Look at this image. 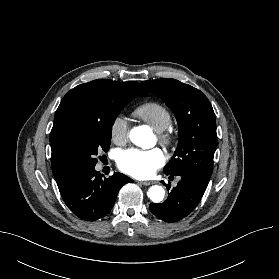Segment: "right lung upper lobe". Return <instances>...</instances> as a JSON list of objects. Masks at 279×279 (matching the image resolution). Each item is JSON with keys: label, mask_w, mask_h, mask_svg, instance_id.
I'll list each match as a JSON object with an SVG mask.
<instances>
[{"label": "right lung upper lobe", "mask_w": 279, "mask_h": 279, "mask_svg": "<svg viewBox=\"0 0 279 279\" xmlns=\"http://www.w3.org/2000/svg\"><path fill=\"white\" fill-rule=\"evenodd\" d=\"M120 95L148 96L137 82L98 79L76 86L62 99L50 133L52 171L58 188L77 172L71 156L72 135L86 124L99 119L107 101Z\"/></svg>", "instance_id": "right-lung-upper-lobe-1"}]
</instances>
